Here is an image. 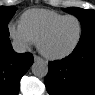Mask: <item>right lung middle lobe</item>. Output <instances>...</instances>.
<instances>
[{
	"label": "right lung middle lobe",
	"instance_id": "right-lung-middle-lobe-1",
	"mask_svg": "<svg viewBox=\"0 0 95 95\" xmlns=\"http://www.w3.org/2000/svg\"><path fill=\"white\" fill-rule=\"evenodd\" d=\"M16 7L14 6H1L0 7V35L9 36L7 27L8 22L15 14Z\"/></svg>",
	"mask_w": 95,
	"mask_h": 95
}]
</instances>
